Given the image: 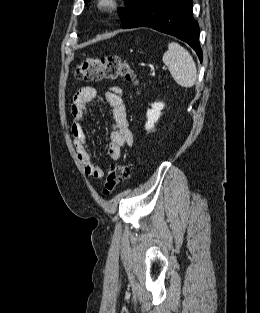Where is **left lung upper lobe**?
I'll use <instances>...</instances> for the list:
<instances>
[{
    "mask_svg": "<svg viewBox=\"0 0 260 313\" xmlns=\"http://www.w3.org/2000/svg\"><path fill=\"white\" fill-rule=\"evenodd\" d=\"M89 0H85L87 2ZM152 0H125L126 8L119 9L122 18L121 27L126 28L128 24L151 2Z\"/></svg>",
    "mask_w": 260,
    "mask_h": 313,
    "instance_id": "obj_1",
    "label": "left lung upper lobe"
}]
</instances>
